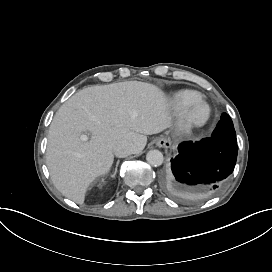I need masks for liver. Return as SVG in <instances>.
Returning a JSON list of instances; mask_svg holds the SVG:
<instances>
[{
    "label": "liver",
    "instance_id": "liver-1",
    "mask_svg": "<svg viewBox=\"0 0 272 272\" xmlns=\"http://www.w3.org/2000/svg\"><path fill=\"white\" fill-rule=\"evenodd\" d=\"M172 125L165 93L157 86L126 81L84 88L56 112L49 128L46 163L58 191L83 204L89 184L109 172L114 147L127 141L140 153L147 136ZM91 133L89 141L81 134Z\"/></svg>",
    "mask_w": 272,
    "mask_h": 272
}]
</instances>
